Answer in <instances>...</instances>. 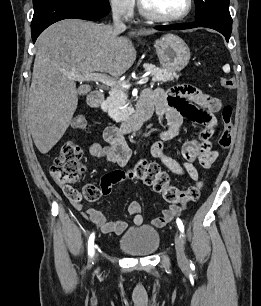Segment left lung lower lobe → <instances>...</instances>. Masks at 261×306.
I'll return each instance as SVG.
<instances>
[{
	"label": "left lung lower lobe",
	"instance_id": "obj_1",
	"mask_svg": "<svg viewBox=\"0 0 261 306\" xmlns=\"http://www.w3.org/2000/svg\"><path fill=\"white\" fill-rule=\"evenodd\" d=\"M196 27H207L214 29L221 34H223L226 38V41H229L231 31H232V23L231 24H220V23H214V22H201L196 21L192 23H185V24H174V25H165V26H157L156 29L159 30H168V29H191Z\"/></svg>",
	"mask_w": 261,
	"mask_h": 306
}]
</instances>
